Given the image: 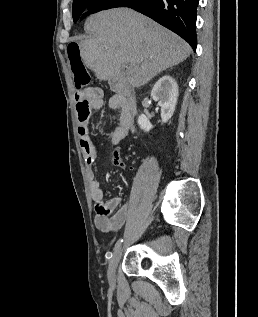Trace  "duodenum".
<instances>
[{
  "mask_svg": "<svg viewBox=\"0 0 258 317\" xmlns=\"http://www.w3.org/2000/svg\"><path fill=\"white\" fill-rule=\"evenodd\" d=\"M84 96L85 95L83 93H77L75 97H76L77 101H81L84 98ZM135 107H136V105H135Z\"/></svg>",
  "mask_w": 258,
  "mask_h": 317,
  "instance_id": "duodenum-1",
  "label": "duodenum"
}]
</instances>
